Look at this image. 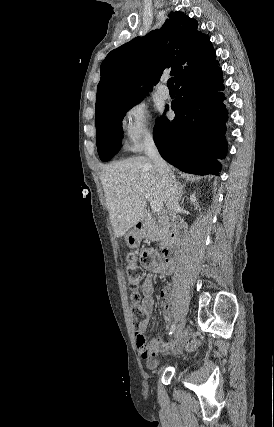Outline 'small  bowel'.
Listing matches in <instances>:
<instances>
[{
    "label": "small bowel",
    "mask_w": 274,
    "mask_h": 427,
    "mask_svg": "<svg viewBox=\"0 0 274 427\" xmlns=\"http://www.w3.org/2000/svg\"><path fill=\"white\" fill-rule=\"evenodd\" d=\"M144 255L146 257V265L148 269H155L160 273L169 274L174 269V261L170 257H165L159 254L155 249L148 248ZM142 301L141 307L144 313L143 319L135 324V336L140 355L144 359L153 358L158 354L167 351H178L181 346L187 341V334L180 333L173 336L170 340H165L158 337L151 341H147L144 332L148 329L151 316L154 309L153 284L151 277L146 275L142 278ZM161 312L165 322L169 325L171 314L169 310V293L162 291L161 293Z\"/></svg>",
    "instance_id": "c3829d8e"
}]
</instances>
